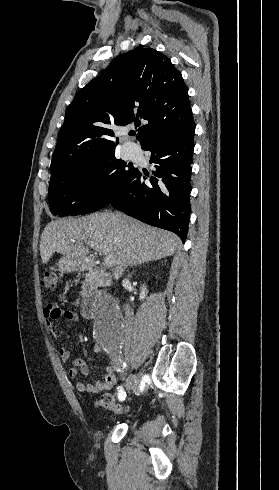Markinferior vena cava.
<instances>
[{
    "instance_id": "obj_1",
    "label": "inferior vena cava",
    "mask_w": 279,
    "mask_h": 490,
    "mask_svg": "<svg viewBox=\"0 0 279 490\" xmlns=\"http://www.w3.org/2000/svg\"><path fill=\"white\" fill-rule=\"evenodd\" d=\"M125 320H127L129 324H132L134 320V312L132 308H130L129 304H126L125 306Z\"/></svg>"
}]
</instances>
